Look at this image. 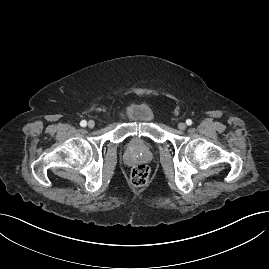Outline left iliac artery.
<instances>
[{
  "mask_svg": "<svg viewBox=\"0 0 269 269\" xmlns=\"http://www.w3.org/2000/svg\"><path fill=\"white\" fill-rule=\"evenodd\" d=\"M186 124H187V125H191V124H192V120L187 119V120H186Z\"/></svg>",
  "mask_w": 269,
  "mask_h": 269,
  "instance_id": "1",
  "label": "left iliac artery"
}]
</instances>
